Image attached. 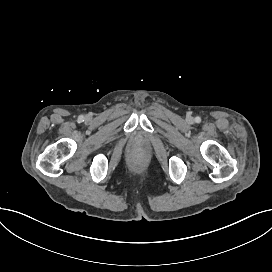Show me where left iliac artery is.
Masks as SVG:
<instances>
[{
  "mask_svg": "<svg viewBox=\"0 0 272 272\" xmlns=\"http://www.w3.org/2000/svg\"><path fill=\"white\" fill-rule=\"evenodd\" d=\"M195 120H196V122H200L201 118L200 117H196Z\"/></svg>",
  "mask_w": 272,
  "mask_h": 272,
  "instance_id": "obj_1",
  "label": "left iliac artery"
}]
</instances>
